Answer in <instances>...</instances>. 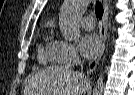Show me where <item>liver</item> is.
Listing matches in <instances>:
<instances>
[{
    "mask_svg": "<svg viewBox=\"0 0 135 95\" xmlns=\"http://www.w3.org/2000/svg\"><path fill=\"white\" fill-rule=\"evenodd\" d=\"M88 81L67 66H52L34 75L25 87L26 95H83Z\"/></svg>",
    "mask_w": 135,
    "mask_h": 95,
    "instance_id": "liver-1",
    "label": "liver"
}]
</instances>
